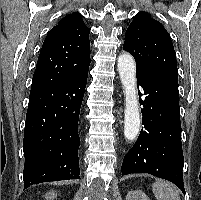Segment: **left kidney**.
Here are the masks:
<instances>
[{"label":"left kidney","instance_id":"left-kidney-1","mask_svg":"<svg viewBox=\"0 0 201 200\" xmlns=\"http://www.w3.org/2000/svg\"><path fill=\"white\" fill-rule=\"evenodd\" d=\"M126 200H150L147 195L141 190L129 191Z\"/></svg>","mask_w":201,"mask_h":200}]
</instances>
